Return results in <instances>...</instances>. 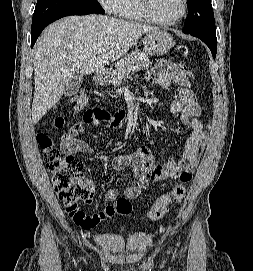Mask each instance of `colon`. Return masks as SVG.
I'll use <instances>...</instances> for the list:
<instances>
[{
	"label": "colon",
	"instance_id": "1",
	"mask_svg": "<svg viewBox=\"0 0 253 271\" xmlns=\"http://www.w3.org/2000/svg\"><path fill=\"white\" fill-rule=\"evenodd\" d=\"M181 68L188 72L185 64ZM87 103V95L84 90L78 91L71 99L70 113L80 110ZM68 114H60L51 121L53 129L63 127L68 120ZM84 119L101 122L110 120V115L102 110L88 111ZM37 142L44 154L46 166L51 174L53 186L59 199L64 205L66 212L73 221L82 228L93 227L97 220L93 214L85 212L83 204H90L93 198V188L89 182L83 178V165L80 159L73 155L63 154L55 146L53 138L49 132L38 133ZM192 179L190 172L181 174L178 182L168 193L159 196L149 209L148 217L152 221L161 219L167 211L171 201L180 202L186 195L187 185ZM114 212L120 215L132 213L133 206L127 198H118L112 205Z\"/></svg>",
	"mask_w": 253,
	"mask_h": 271
}]
</instances>
